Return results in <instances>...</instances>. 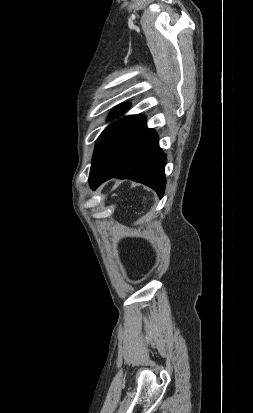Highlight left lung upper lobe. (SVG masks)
<instances>
[{"label": "left lung upper lobe", "mask_w": 253, "mask_h": 413, "mask_svg": "<svg viewBox=\"0 0 253 413\" xmlns=\"http://www.w3.org/2000/svg\"><path fill=\"white\" fill-rule=\"evenodd\" d=\"M129 104H123L112 111L110 118L124 113ZM145 120L144 116L132 115L111 123L99 136L93 154L90 176L95 175L125 139Z\"/></svg>", "instance_id": "obj_1"}]
</instances>
